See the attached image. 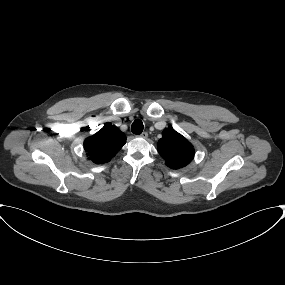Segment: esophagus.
Returning <instances> with one entry per match:
<instances>
[{
    "mask_svg": "<svg viewBox=\"0 0 285 285\" xmlns=\"http://www.w3.org/2000/svg\"><path fill=\"white\" fill-rule=\"evenodd\" d=\"M141 138H147L148 137V133L147 132H143L139 135Z\"/></svg>",
    "mask_w": 285,
    "mask_h": 285,
    "instance_id": "obj_1",
    "label": "esophagus"
}]
</instances>
